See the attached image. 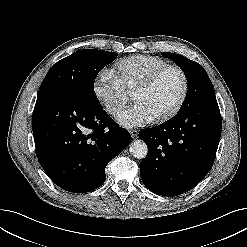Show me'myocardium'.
Wrapping results in <instances>:
<instances>
[{
	"label": "myocardium",
	"mask_w": 247,
	"mask_h": 247,
	"mask_svg": "<svg viewBox=\"0 0 247 247\" xmlns=\"http://www.w3.org/2000/svg\"><path fill=\"white\" fill-rule=\"evenodd\" d=\"M168 70H176L179 72V74L182 77L183 80V88H182V92L177 100V102L174 104V106L172 108H170L168 111H166L165 113L155 117V120L158 122H162V121H166L168 119H170L171 117H173L174 115H176L178 113V111L181 109V107L183 106L187 96H188V92H189V79L188 76L186 74V72L184 71L183 68H181L178 65H173V64H168L165 65L163 67H160L158 69H156L155 71L151 72L150 74H148L143 80H141L134 88L133 91H140V90H145L147 88H149L156 80L159 76H161L164 72L168 71Z\"/></svg>",
	"instance_id": "myocardium-1"
}]
</instances>
